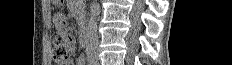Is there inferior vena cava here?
<instances>
[{
    "label": "inferior vena cava",
    "mask_w": 232,
    "mask_h": 65,
    "mask_svg": "<svg viewBox=\"0 0 232 65\" xmlns=\"http://www.w3.org/2000/svg\"><path fill=\"white\" fill-rule=\"evenodd\" d=\"M97 13L98 4L93 2L90 6V19L88 21L86 37V54L88 61H98Z\"/></svg>",
    "instance_id": "obj_1"
}]
</instances>
